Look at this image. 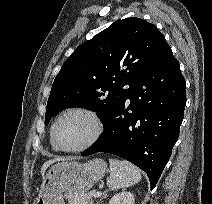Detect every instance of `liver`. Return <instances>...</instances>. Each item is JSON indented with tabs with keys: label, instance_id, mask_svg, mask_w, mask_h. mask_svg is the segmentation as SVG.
Wrapping results in <instances>:
<instances>
[{
	"label": "liver",
	"instance_id": "6515ba94",
	"mask_svg": "<svg viewBox=\"0 0 212 204\" xmlns=\"http://www.w3.org/2000/svg\"><path fill=\"white\" fill-rule=\"evenodd\" d=\"M60 160H61V159H51V160L46 161V162L42 165V167H41V174H42V176H44L45 171L47 170V168H48L51 164H53V163L56 162V161H60Z\"/></svg>",
	"mask_w": 212,
	"mask_h": 204
}]
</instances>
